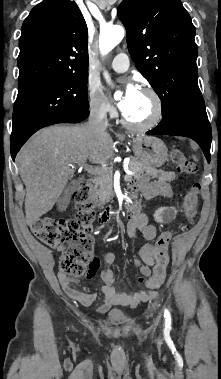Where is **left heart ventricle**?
<instances>
[{"instance_id":"b2bd125f","label":"left heart ventricle","mask_w":221,"mask_h":379,"mask_svg":"<svg viewBox=\"0 0 221 379\" xmlns=\"http://www.w3.org/2000/svg\"><path fill=\"white\" fill-rule=\"evenodd\" d=\"M153 113V102L150 97L140 93L134 105L124 113L132 122L142 123L147 121Z\"/></svg>"}]
</instances>
